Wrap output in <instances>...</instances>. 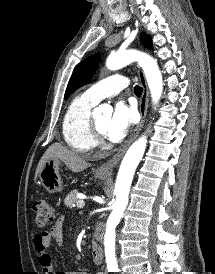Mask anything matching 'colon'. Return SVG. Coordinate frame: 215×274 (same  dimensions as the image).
<instances>
[{
    "label": "colon",
    "mask_w": 215,
    "mask_h": 274,
    "mask_svg": "<svg viewBox=\"0 0 215 274\" xmlns=\"http://www.w3.org/2000/svg\"><path fill=\"white\" fill-rule=\"evenodd\" d=\"M35 223L39 228H44L54 220V209L45 198H38L33 204Z\"/></svg>",
    "instance_id": "obj_1"
}]
</instances>
